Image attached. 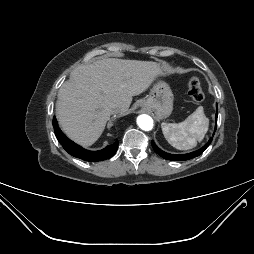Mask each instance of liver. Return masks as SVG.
I'll return each mask as SVG.
<instances>
[{
  "instance_id": "1",
  "label": "liver",
  "mask_w": 254,
  "mask_h": 254,
  "mask_svg": "<svg viewBox=\"0 0 254 254\" xmlns=\"http://www.w3.org/2000/svg\"><path fill=\"white\" fill-rule=\"evenodd\" d=\"M155 62L107 58L75 68L58 91L56 117L64 133L82 146L101 136L113 108L125 114L132 97L160 75Z\"/></svg>"
}]
</instances>
